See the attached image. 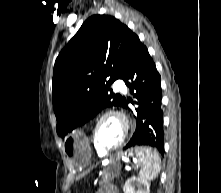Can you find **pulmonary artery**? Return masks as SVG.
Listing matches in <instances>:
<instances>
[{
	"label": "pulmonary artery",
	"mask_w": 221,
	"mask_h": 193,
	"mask_svg": "<svg viewBox=\"0 0 221 193\" xmlns=\"http://www.w3.org/2000/svg\"><path fill=\"white\" fill-rule=\"evenodd\" d=\"M114 88L116 90H120L122 92H126V86H125L123 80H121V79H118V80L115 81Z\"/></svg>",
	"instance_id": "pulmonary-artery-1"
}]
</instances>
